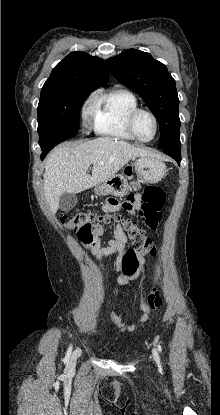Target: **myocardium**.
<instances>
[{"instance_id":"obj_1","label":"myocardium","mask_w":220,"mask_h":415,"mask_svg":"<svg viewBox=\"0 0 220 415\" xmlns=\"http://www.w3.org/2000/svg\"><path fill=\"white\" fill-rule=\"evenodd\" d=\"M140 113H147V114H149L152 117L153 121H154V124H155V132H154L153 137L150 138V139H141L136 134L135 127H134V123H135V119H136L137 115L140 114ZM127 128H128L129 133L131 134V136L135 140H137L138 142H141V143H148V142L154 140L157 137L158 132H159V121H158V118L155 115V113L152 112L151 110L137 107V108L133 109L130 112V114L128 115V118H127Z\"/></svg>"}]
</instances>
